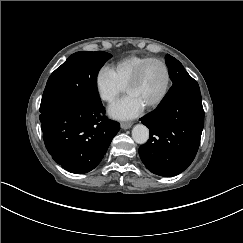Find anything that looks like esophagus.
I'll use <instances>...</instances> for the list:
<instances>
[{
	"label": "esophagus",
	"mask_w": 243,
	"mask_h": 243,
	"mask_svg": "<svg viewBox=\"0 0 243 243\" xmlns=\"http://www.w3.org/2000/svg\"><path fill=\"white\" fill-rule=\"evenodd\" d=\"M132 126V123L130 122H123L121 123V128L122 129H129Z\"/></svg>",
	"instance_id": "34e87169"
}]
</instances>
